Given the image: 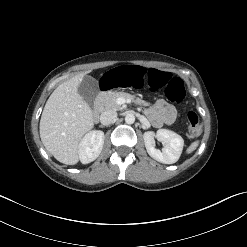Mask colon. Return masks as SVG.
<instances>
[{
	"label": "colon",
	"mask_w": 247,
	"mask_h": 247,
	"mask_svg": "<svg viewBox=\"0 0 247 247\" xmlns=\"http://www.w3.org/2000/svg\"><path fill=\"white\" fill-rule=\"evenodd\" d=\"M101 85L109 91L118 88L144 86L148 91L156 92L165 88V95L171 101L180 103L185 97V88L182 80L173 77L168 72L159 71L156 67H144L140 64L129 63L106 69L100 77ZM189 132L198 136L202 131V124L194 111L187 114Z\"/></svg>",
	"instance_id": "5ec220e1"
}]
</instances>
